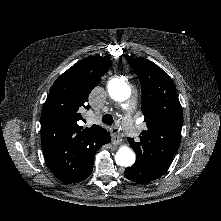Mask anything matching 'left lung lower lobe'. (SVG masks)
<instances>
[{
    "mask_svg": "<svg viewBox=\"0 0 221 221\" xmlns=\"http://www.w3.org/2000/svg\"><path fill=\"white\" fill-rule=\"evenodd\" d=\"M170 164L144 165L135 163L124 171V175L131 181L147 183L160 177Z\"/></svg>",
    "mask_w": 221,
    "mask_h": 221,
    "instance_id": "0a47b994",
    "label": "left lung lower lobe"
}]
</instances>
